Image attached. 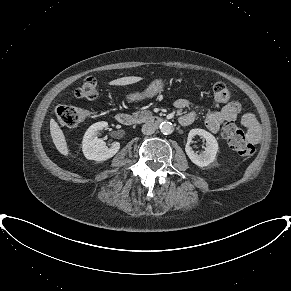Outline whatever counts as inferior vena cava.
Returning <instances> with one entry per match:
<instances>
[{"label": "inferior vena cava", "mask_w": 291, "mask_h": 291, "mask_svg": "<svg viewBox=\"0 0 291 291\" xmlns=\"http://www.w3.org/2000/svg\"><path fill=\"white\" fill-rule=\"evenodd\" d=\"M156 126L152 122H147L142 126V133L145 135H151L155 132Z\"/></svg>", "instance_id": "602c4592"}]
</instances>
